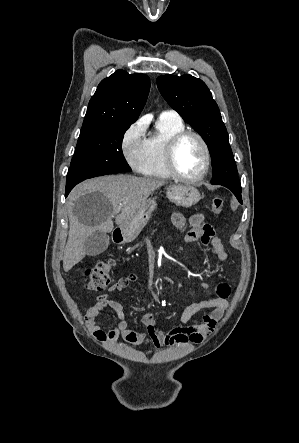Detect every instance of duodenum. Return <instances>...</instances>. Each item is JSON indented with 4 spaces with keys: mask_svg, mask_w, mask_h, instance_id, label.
<instances>
[{
    "mask_svg": "<svg viewBox=\"0 0 299 443\" xmlns=\"http://www.w3.org/2000/svg\"><path fill=\"white\" fill-rule=\"evenodd\" d=\"M113 239L116 243H121L124 240V236L122 234L121 229L117 228L113 232Z\"/></svg>",
    "mask_w": 299,
    "mask_h": 443,
    "instance_id": "410a0bca",
    "label": "duodenum"
}]
</instances>
